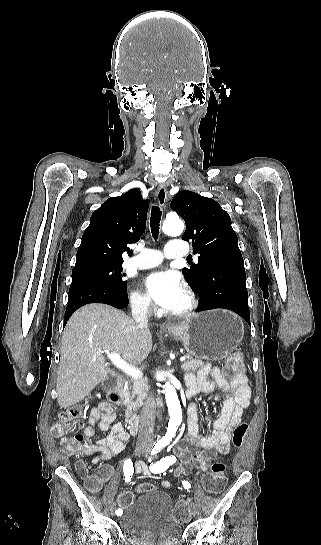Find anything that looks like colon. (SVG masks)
Listing matches in <instances>:
<instances>
[{
	"label": "colon",
	"mask_w": 321,
	"mask_h": 545,
	"mask_svg": "<svg viewBox=\"0 0 321 545\" xmlns=\"http://www.w3.org/2000/svg\"><path fill=\"white\" fill-rule=\"evenodd\" d=\"M226 375L232 379L244 376L245 367L238 357H230L225 360L223 366ZM84 416L83 409L73 408L63 411L59 414L57 421L52 427V434L57 440L60 450L66 454H74L80 447L83 436L80 433L81 419ZM248 426L246 423H235L230 430V435L234 446L240 447L243 443ZM77 472L84 480L86 488L93 493L98 492L102 487V481L97 475H90L85 464L81 461L76 464ZM227 472L226 466L220 462H214L210 470L203 479L204 488L208 493L219 494L226 485ZM155 487L150 483H143L138 487V492L154 490ZM134 494L124 492L117 499V505L120 510H124L132 504ZM174 516L180 522L189 520L190 512L186 501L177 503L174 509Z\"/></svg>",
	"instance_id": "5ec220e1"
}]
</instances>
